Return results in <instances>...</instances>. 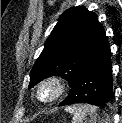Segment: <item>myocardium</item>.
I'll list each match as a JSON object with an SVG mask.
<instances>
[{"label":"myocardium","instance_id":"1","mask_svg":"<svg viewBox=\"0 0 122 123\" xmlns=\"http://www.w3.org/2000/svg\"><path fill=\"white\" fill-rule=\"evenodd\" d=\"M47 86H52L54 88V94L49 98H43L41 92L43 88ZM67 88L68 84L64 78L55 75L48 76L39 83L37 98L43 103H54L65 95Z\"/></svg>","mask_w":122,"mask_h":123}]
</instances>
